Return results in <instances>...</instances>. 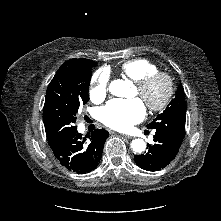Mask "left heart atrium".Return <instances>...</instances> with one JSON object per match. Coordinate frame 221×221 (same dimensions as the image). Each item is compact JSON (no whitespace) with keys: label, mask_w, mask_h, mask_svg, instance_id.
Wrapping results in <instances>:
<instances>
[{"label":"left heart atrium","mask_w":221,"mask_h":221,"mask_svg":"<svg viewBox=\"0 0 221 221\" xmlns=\"http://www.w3.org/2000/svg\"><path fill=\"white\" fill-rule=\"evenodd\" d=\"M145 116V107L140 99H114L100 109L101 122L118 131L129 130Z\"/></svg>","instance_id":"obj_1"}]
</instances>
